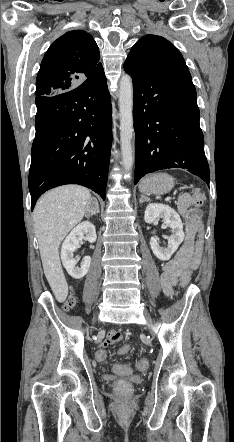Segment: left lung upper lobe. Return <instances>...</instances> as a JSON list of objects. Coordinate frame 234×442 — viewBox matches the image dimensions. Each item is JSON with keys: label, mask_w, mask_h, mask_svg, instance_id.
Here are the masks:
<instances>
[{"label": "left lung upper lobe", "mask_w": 234, "mask_h": 442, "mask_svg": "<svg viewBox=\"0 0 234 442\" xmlns=\"http://www.w3.org/2000/svg\"><path fill=\"white\" fill-rule=\"evenodd\" d=\"M125 62L150 70H188L181 53L172 43L151 34L142 37L132 47Z\"/></svg>", "instance_id": "5c2ea615"}]
</instances>
